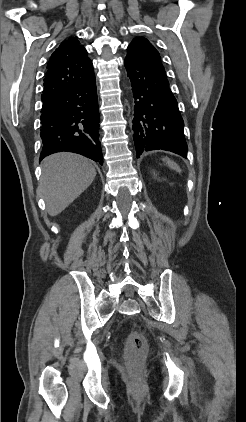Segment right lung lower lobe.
<instances>
[{
  "mask_svg": "<svg viewBox=\"0 0 246 422\" xmlns=\"http://www.w3.org/2000/svg\"><path fill=\"white\" fill-rule=\"evenodd\" d=\"M42 160L69 151L103 164L95 76L46 100L41 109Z\"/></svg>",
  "mask_w": 246,
  "mask_h": 422,
  "instance_id": "right-lung-lower-lobe-1",
  "label": "right lung lower lobe"
}]
</instances>
